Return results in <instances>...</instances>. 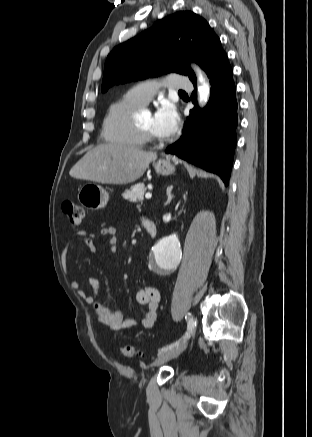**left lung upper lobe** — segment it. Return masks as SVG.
<instances>
[{"instance_id":"5c2ea615","label":"left lung upper lobe","mask_w":312,"mask_h":437,"mask_svg":"<svg viewBox=\"0 0 312 437\" xmlns=\"http://www.w3.org/2000/svg\"><path fill=\"white\" fill-rule=\"evenodd\" d=\"M222 51L220 39L202 17L180 11L115 47L105 62L101 90L171 71L194 82L195 74L186 61H195L207 72Z\"/></svg>"}]
</instances>
